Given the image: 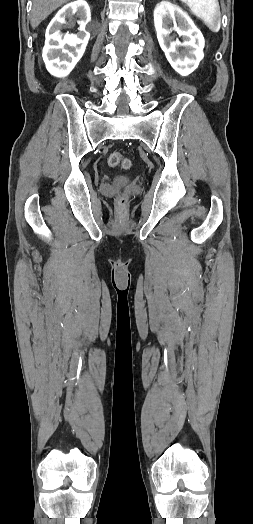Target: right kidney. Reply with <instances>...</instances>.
Returning <instances> with one entry per match:
<instances>
[{
	"label": "right kidney",
	"instance_id": "1",
	"mask_svg": "<svg viewBox=\"0 0 253 524\" xmlns=\"http://www.w3.org/2000/svg\"><path fill=\"white\" fill-rule=\"evenodd\" d=\"M78 19L79 32L63 34L61 30L66 20ZM91 20L90 8L86 1L77 0L64 6L52 19L46 30L43 60L50 74L56 77L67 76L82 58L90 34L86 30Z\"/></svg>",
	"mask_w": 253,
	"mask_h": 524
}]
</instances>
